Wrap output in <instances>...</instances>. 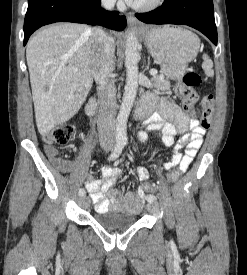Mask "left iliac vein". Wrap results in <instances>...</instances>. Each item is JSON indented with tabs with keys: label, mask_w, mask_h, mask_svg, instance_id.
Returning a JSON list of instances; mask_svg holds the SVG:
<instances>
[{
	"label": "left iliac vein",
	"mask_w": 247,
	"mask_h": 275,
	"mask_svg": "<svg viewBox=\"0 0 247 275\" xmlns=\"http://www.w3.org/2000/svg\"><path fill=\"white\" fill-rule=\"evenodd\" d=\"M158 204L156 201H151L147 203V210L151 213H157L158 212Z\"/></svg>",
	"instance_id": "obj_1"
}]
</instances>
